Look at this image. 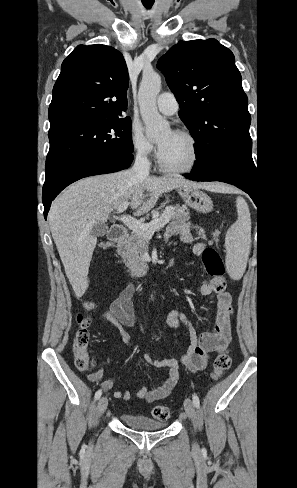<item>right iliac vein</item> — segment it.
<instances>
[{
  "instance_id": "obj_1",
  "label": "right iliac vein",
  "mask_w": 297,
  "mask_h": 488,
  "mask_svg": "<svg viewBox=\"0 0 297 488\" xmlns=\"http://www.w3.org/2000/svg\"><path fill=\"white\" fill-rule=\"evenodd\" d=\"M107 406H108L107 398L102 397L97 404V408H96L97 416L100 417L105 412V410L107 409Z\"/></svg>"
}]
</instances>
